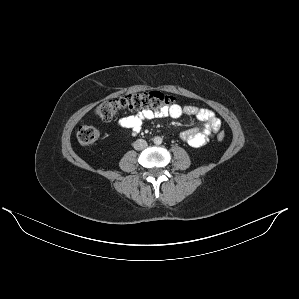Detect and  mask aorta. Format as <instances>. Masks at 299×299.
<instances>
[{"label": "aorta", "instance_id": "1", "mask_svg": "<svg viewBox=\"0 0 299 299\" xmlns=\"http://www.w3.org/2000/svg\"><path fill=\"white\" fill-rule=\"evenodd\" d=\"M154 144L160 145L162 143V138L159 136L154 137Z\"/></svg>", "mask_w": 299, "mask_h": 299}]
</instances>
